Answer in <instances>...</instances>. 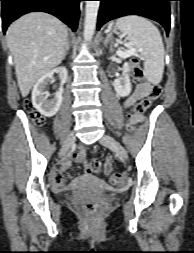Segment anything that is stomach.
Returning a JSON list of instances; mask_svg holds the SVG:
<instances>
[{"label": "stomach", "instance_id": "0dacf381", "mask_svg": "<svg viewBox=\"0 0 194 253\" xmlns=\"http://www.w3.org/2000/svg\"><path fill=\"white\" fill-rule=\"evenodd\" d=\"M113 32H117L116 29H113Z\"/></svg>", "mask_w": 194, "mask_h": 253}]
</instances>
